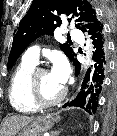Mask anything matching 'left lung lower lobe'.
I'll return each instance as SVG.
<instances>
[{"mask_svg": "<svg viewBox=\"0 0 117 136\" xmlns=\"http://www.w3.org/2000/svg\"><path fill=\"white\" fill-rule=\"evenodd\" d=\"M93 40L94 45L93 60L95 62L92 69H88L85 78L82 83L81 91L77 97L67 103L65 106H76L83 108L89 114H93L96 111L99 95L102 91L105 74L109 64V50L108 44L102 24L95 26L93 29L88 31ZM76 67V74L80 70L79 62L76 61L75 57L71 59Z\"/></svg>", "mask_w": 117, "mask_h": 136, "instance_id": "1", "label": "left lung lower lobe"}]
</instances>
